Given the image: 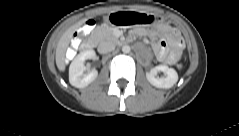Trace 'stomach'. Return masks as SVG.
Returning a JSON list of instances; mask_svg holds the SVG:
<instances>
[{
	"label": "stomach",
	"mask_w": 239,
	"mask_h": 136,
	"mask_svg": "<svg viewBox=\"0 0 239 136\" xmlns=\"http://www.w3.org/2000/svg\"><path fill=\"white\" fill-rule=\"evenodd\" d=\"M105 21L108 24L125 28H132L134 25L161 27L164 24V19L162 17H153L151 14L123 10H107Z\"/></svg>",
	"instance_id": "0dacf381"
}]
</instances>
